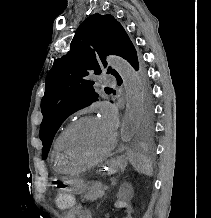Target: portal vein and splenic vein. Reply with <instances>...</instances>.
Listing matches in <instances>:
<instances>
[{
	"mask_svg": "<svg viewBox=\"0 0 211 218\" xmlns=\"http://www.w3.org/2000/svg\"><path fill=\"white\" fill-rule=\"evenodd\" d=\"M109 188H110L109 186H105L104 191H107V189H109Z\"/></svg>",
	"mask_w": 211,
	"mask_h": 218,
	"instance_id": "obj_1",
	"label": "portal vein and splenic vein"
}]
</instances>
